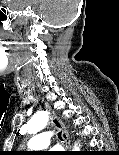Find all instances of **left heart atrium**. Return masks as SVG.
I'll use <instances>...</instances> for the list:
<instances>
[{"label": "left heart atrium", "instance_id": "1", "mask_svg": "<svg viewBox=\"0 0 119 155\" xmlns=\"http://www.w3.org/2000/svg\"><path fill=\"white\" fill-rule=\"evenodd\" d=\"M49 155H61V154H58L57 151H52Z\"/></svg>", "mask_w": 119, "mask_h": 155}]
</instances>
